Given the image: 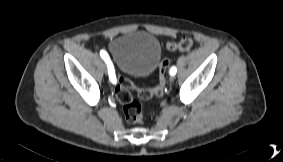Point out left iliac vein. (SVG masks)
Returning a JSON list of instances; mask_svg holds the SVG:
<instances>
[{
    "mask_svg": "<svg viewBox=\"0 0 283 162\" xmlns=\"http://www.w3.org/2000/svg\"><path fill=\"white\" fill-rule=\"evenodd\" d=\"M175 79V77H174V75H172L171 77H170V80H174Z\"/></svg>",
    "mask_w": 283,
    "mask_h": 162,
    "instance_id": "obj_1",
    "label": "left iliac vein"
}]
</instances>
